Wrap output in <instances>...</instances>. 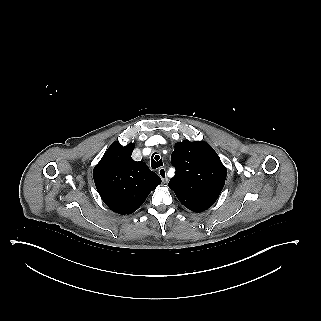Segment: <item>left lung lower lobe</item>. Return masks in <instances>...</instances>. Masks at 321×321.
Segmentation results:
<instances>
[{
	"instance_id": "0a47b994",
	"label": "left lung lower lobe",
	"mask_w": 321,
	"mask_h": 321,
	"mask_svg": "<svg viewBox=\"0 0 321 321\" xmlns=\"http://www.w3.org/2000/svg\"><path fill=\"white\" fill-rule=\"evenodd\" d=\"M219 194L183 195L179 201L193 212H202L208 209L217 200Z\"/></svg>"
}]
</instances>
